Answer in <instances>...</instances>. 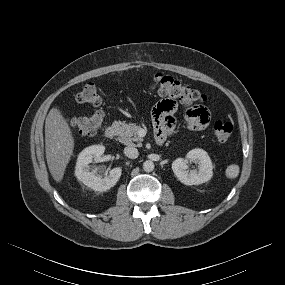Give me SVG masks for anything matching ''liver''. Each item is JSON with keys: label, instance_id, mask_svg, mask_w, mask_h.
<instances>
[{"label": "liver", "instance_id": "6515ba94", "mask_svg": "<svg viewBox=\"0 0 285 285\" xmlns=\"http://www.w3.org/2000/svg\"><path fill=\"white\" fill-rule=\"evenodd\" d=\"M71 128L61 111L53 107L45 121L46 160L53 179L59 183L74 150Z\"/></svg>", "mask_w": 285, "mask_h": 285}]
</instances>
